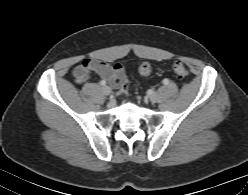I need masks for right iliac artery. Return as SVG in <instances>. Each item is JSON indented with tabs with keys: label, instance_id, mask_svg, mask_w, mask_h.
<instances>
[{
	"label": "right iliac artery",
	"instance_id": "82829eb1",
	"mask_svg": "<svg viewBox=\"0 0 248 195\" xmlns=\"http://www.w3.org/2000/svg\"><path fill=\"white\" fill-rule=\"evenodd\" d=\"M100 84H101L102 86H105V85H106V82L102 80V81L100 82Z\"/></svg>",
	"mask_w": 248,
	"mask_h": 195
}]
</instances>
